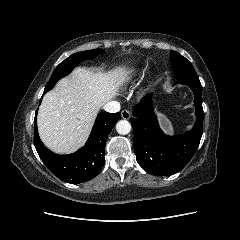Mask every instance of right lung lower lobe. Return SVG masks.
<instances>
[{"label":"right lung lower lobe","instance_id":"obj_1","mask_svg":"<svg viewBox=\"0 0 240 240\" xmlns=\"http://www.w3.org/2000/svg\"><path fill=\"white\" fill-rule=\"evenodd\" d=\"M120 114L99 113L85 146L70 155L54 154L43 145L38 135L35 116L34 145L37 153L46 167L62 180L73 184L91 180L104 165L106 140Z\"/></svg>","mask_w":240,"mask_h":240}]
</instances>
